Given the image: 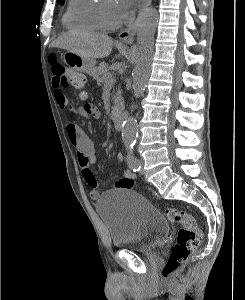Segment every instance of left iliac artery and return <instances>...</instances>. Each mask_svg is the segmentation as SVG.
Returning a JSON list of instances; mask_svg holds the SVG:
<instances>
[{
    "instance_id": "44dca946",
    "label": "left iliac artery",
    "mask_w": 245,
    "mask_h": 300,
    "mask_svg": "<svg viewBox=\"0 0 245 300\" xmlns=\"http://www.w3.org/2000/svg\"><path fill=\"white\" fill-rule=\"evenodd\" d=\"M127 163L134 172H137L141 169V166L139 165L138 159L134 155V151L131 148H128V155H127Z\"/></svg>"
}]
</instances>
